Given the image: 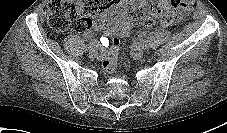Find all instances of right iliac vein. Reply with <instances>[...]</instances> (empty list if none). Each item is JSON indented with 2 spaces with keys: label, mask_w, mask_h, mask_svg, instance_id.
<instances>
[{
  "label": "right iliac vein",
  "mask_w": 227,
  "mask_h": 133,
  "mask_svg": "<svg viewBox=\"0 0 227 133\" xmlns=\"http://www.w3.org/2000/svg\"><path fill=\"white\" fill-rule=\"evenodd\" d=\"M99 54V51L96 47H93L89 50V55L91 57H96Z\"/></svg>",
  "instance_id": "1"
}]
</instances>
